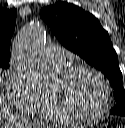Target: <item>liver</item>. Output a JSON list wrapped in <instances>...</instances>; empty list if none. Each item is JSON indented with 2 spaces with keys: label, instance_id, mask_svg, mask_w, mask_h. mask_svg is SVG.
Returning a JSON list of instances; mask_svg holds the SVG:
<instances>
[{
  "label": "liver",
  "instance_id": "6515ba94",
  "mask_svg": "<svg viewBox=\"0 0 125 128\" xmlns=\"http://www.w3.org/2000/svg\"><path fill=\"white\" fill-rule=\"evenodd\" d=\"M20 126L11 113V97L7 83L0 76V128H12Z\"/></svg>",
  "mask_w": 125,
  "mask_h": 128
}]
</instances>
